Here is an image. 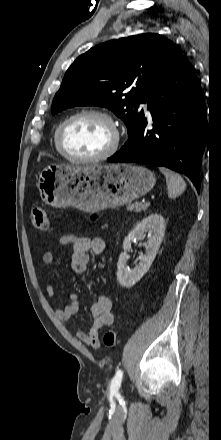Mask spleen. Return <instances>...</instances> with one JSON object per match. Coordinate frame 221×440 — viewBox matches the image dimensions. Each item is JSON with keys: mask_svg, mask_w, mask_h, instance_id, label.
Segmentation results:
<instances>
[{"mask_svg": "<svg viewBox=\"0 0 221 440\" xmlns=\"http://www.w3.org/2000/svg\"><path fill=\"white\" fill-rule=\"evenodd\" d=\"M159 170L166 177L168 197L176 198L181 195L186 189V183L184 179L178 173H175L167 168L160 167Z\"/></svg>", "mask_w": 221, "mask_h": 440, "instance_id": "spleen-1", "label": "spleen"}]
</instances>
